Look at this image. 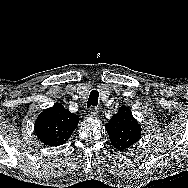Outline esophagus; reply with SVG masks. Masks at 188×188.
Listing matches in <instances>:
<instances>
[{"label":"esophagus","mask_w":188,"mask_h":188,"mask_svg":"<svg viewBox=\"0 0 188 188\" xmlns=\"http://www.w3.org/2000/svg\"><path fill=\"white\" fill-rule=\"evenodd\" d=\"M88 115L91 116V117H99L100 112H99V110L96 109V108H91V109H89V111H88Z\"/></svg>","instance_id":"1"}]
</instances>
